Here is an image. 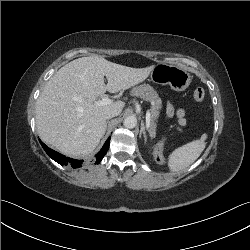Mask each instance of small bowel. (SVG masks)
<instances>
[{"label": "small bowel", "mask_w": 250, "mask_h": 250, "mask_svg": "<svg viewBox=\"0 0 250 250\" xmlns=\"http://www.w3.org/2000/svg\"><path fill=\"white\" fill-rule=\"evenodd\" d=\"M167 115L169 117L175 116L178 121L179 129H182L186 125L185 112L182 109H175L173 105L168 104Z\"/></svg>", "instance_id": "obj_1"}]
</instances>
